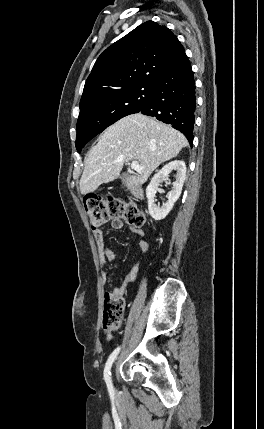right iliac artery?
Masks as SVG:
<instances>
[{
  "instance_id": "1",
  "label": "right iliac artery",
  "mask_w": 264,
  "mask_h": 429,
  "mask_svg": "<svg viewBox=\"0 0 264 429\" xmlns=\"http://www.w3.org/2000/svg\"><path fill=\"white\" fill-rule=\"evenodd\" d=\"M119 351H120V347H117V348L112 352V354L109 356V358H108V360H107V362H106V365H105V369H104V380H105V382H106V384H107V387H108L109 391H112V390H113V387H112V379H111V371H110V370H111L112 364H113L114 360L116 359V357H117V355H118Z\"/></svg>"
}]
</instances>
